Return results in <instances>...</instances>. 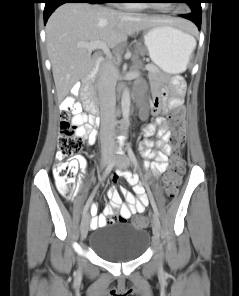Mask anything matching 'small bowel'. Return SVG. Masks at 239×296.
I'll use <instances>...</instances> for the list:
<instances>
[{
  "label": "small bowel",
  "mask_w": 239,
  "mask_h": 296,
  "mask_svg": "<svg viewBox=\"0 0 239 296\" xmlns=\"http://www.w3.org/2000/svg\"><path fill=\"white\" fill-rule=\"evenodd\" d=\"M141 83H138L140 86ZM174 93L168 97V91L166 89H160L156 92L152 102L151 112L154 114L159 113L161 110L169 108H176L182 103V92L184 89V81L182 79L175 78L173 80ZM75 120L80 123L78 134L83 137L87 145L93 144L97 139V130L93 127L91 122V116L89 117L85 113L78 112L75 116ZM142 132L146 139L142 143V150L146 157H151L153 161H145V168L151 169L154 175H159L166 171L168 166V156L171 152L169 145L170 128L167 118L161 115L155 119L154 122L146 124L142 128ZM153 135H157L159 140L154 141L151 139ZM156 147L157 149L153 150ZM81 165H85L83 158H78ZM119 177H123L133 188V191H129L126 188H111L108 191V197L111 200L109 205H106L103 212L97 216V205L93 204L91 210L96 216L92 219V228L104 227L106 225L116 223L111 220V216L115 212H119V217L122 221H127L133 214L142 213L148 206V197L145 193L144 185L139 182L137 174L122 169L117 170L112 175V180L116 181ZM123 198L128 205H123Z\"/></svg>",
  "instance_id": "1"
}]
</instances>
